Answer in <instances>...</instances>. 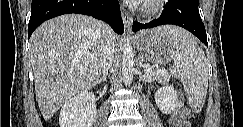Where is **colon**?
<instances>
[{
    "instance_id": "1",
    "label": "colon",
    "mask_w": 243,
    "mask_h": 127,
    "mask_svg": "<svg viewBox=\"0 0 243 127\" xmlns=\"http://www.w3.org/2000/svg\"><path fill=\"white\" fill-rule=\"evenodd\" d=\"M189 117H190V110L183 105L179 106L172 117L173 126L190 127Z\"/></svg>"
}]
</instances>
